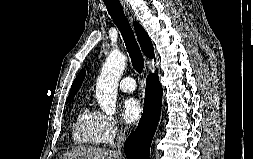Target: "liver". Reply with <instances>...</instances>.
I'll use <instances>...</instances> for the list:
<instances>
[{
    "mask_svg": "<svg viewBox=\"0 0 253 159\" xmlns=\"http://www.w3.org/2000/svg\"><path fill=\"white\" fill-rule=\"evenodd\" d=\"M60 159H123L116 151L91 146H78L63 153Z\"/></svg>",
    "mask_w": 253,
    "mask_h": 159,
    "instance_id": "liver-1",
    "label": "liver"
}]
</instances>
